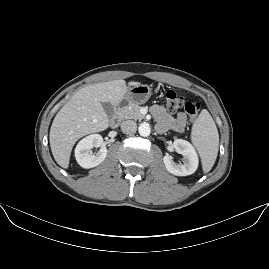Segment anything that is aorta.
I'll return each mask as SVG.
<instances>
[{
	"label": "aorta",
	"instance_id": "1",
	"mask_svg": "<svg viewBox=\"0 0 269 269\" xmlns=\"http://www.w3.org/2000/svg\"><path fill=\"white\" fill-rule=\"evenodd\" d=\"M138 129H139V133L142 136H148L150 134V131H151L149 124L146 122L141 123L139 125Z\"/></svg>",
	"mask_w": 269,
	"mask_h": 269
}]
</instances>
